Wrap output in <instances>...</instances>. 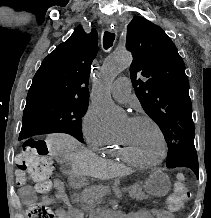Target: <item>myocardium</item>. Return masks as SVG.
I'll return each instance as SVG.
<instances>
[{
	"instance_id": "myocardium-1",
	"label": "myocardium",
	"mask_w": 211,
	"mask_h": 218,
	"mask_svg": "<svg viewBox=\"0 0 211 218\" xmlns=\"http://www.w3.org/2000/svg\"><path fill=\"white\" fill-rule=\"evenodd\" d=\"M131 121H147L149 123H151L154 128L156 129L159 138H160V142H161V154L160 157L154 161V162H144L140 159H138L129 149V147L127 146L126 142L119 137L117 134L115 135L116 138V142L119 145V148L121 149V151L123 152V154L133 163L136 164L140 167H144V168H151V167H155L157 165H159L164 157H165V152H166V146H165V134L162 130V128L160 127V125L150 116L147 115H134L131 116L129 118Z\"/></svg>"
}]
</instances>
